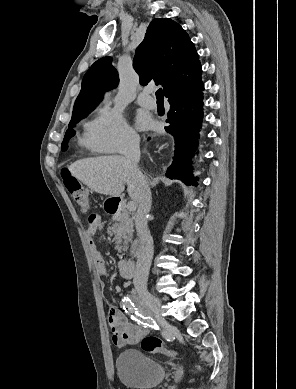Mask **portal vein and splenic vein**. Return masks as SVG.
<instances>
[{
	"instance_id": "18ae733b",
	"label": "portal vein and splenic vein",
	"mask_w": 296,
	"mask_h": 389,
	"mask_svg": "<svg viewBox=\"0 0 296 389\" xmlns=\"http://www.w3.org/2000/svg\"><path fill=\"white\" fill-rule=\"evenodd\" d=\"M136 208H137L136 202H134V201H129V202L127 203V209H128L129 211H134V210H136Z\"/></svg>"
}]
</instances>
